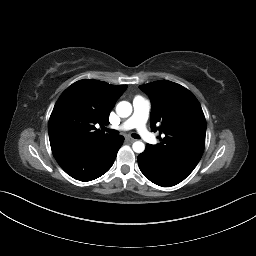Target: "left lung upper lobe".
Wrapping results in <instances>:
<instances>
[{
    "mask_svg": "<svg viewBox=\"0 0 256 256\" xmlns=\"http://www.w3.org/2000/svg\"><path fill=\"white\" fill-rule=\"evenodd\" d=\"M151 98V130L165 134L152 145L154 154L174 166L193 171L205 147L206 120L196 97L171 81L139 86Z\"/></svg>",
    "mask_w": 256,
    "mask_h": 256,
    "instance_id": "obj_1",
    "label": "left lung upper lobe"
}]
</instances>
